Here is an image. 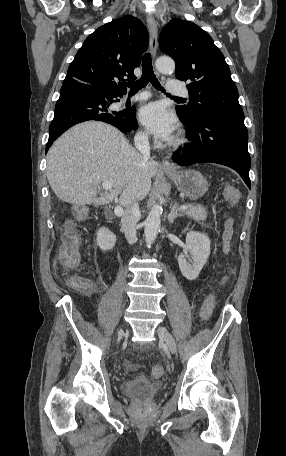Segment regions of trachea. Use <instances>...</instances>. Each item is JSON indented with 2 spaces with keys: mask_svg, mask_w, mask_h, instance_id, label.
Returning <instances> with one entry per match:
<instances>
[{
  "mask_svg": "<svg viewBox=\"0 0 286 456\" xmlns=\"http://www.w3.org/2000/svg\"><path fill=\"white\" fill-rule=\"evenodd\" d=\"M151 83L153 87L157 90H160L163 93H166L164 88L160 85V82L156 78L153 67H152V60L151 55L149 53L144 54L142 59V76L137 81H132L126 83V86L130 88L131 92H138L140 89L144 88L148 83ZM169 97H173L176 99H182L181 97L171 96L167 94Z\"/></svg>",
  "mask_w": 286,
  "mask_h": 456,
  "instance_id": "obj_1",
  "label": "trachea"
}]
</instances>
